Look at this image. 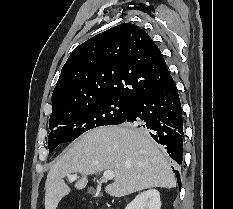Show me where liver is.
Returning a JSON list of instances; mask_svg holds the SVG:
<instances>
[{"mask_svg":"<svg viewBox=\"0 0 233 209\" xmlns=\"http://www.w3.org/2000/svg\"><path fill=\"white\" fill-rule=\"evenodd\" d=\"M106 170L114 172V182L105 191L117 198L176 186L170 165L146 132L132 125L100 127L72 143L52 166L45 183V209H56L70 193L66 176L81 174L75 188L83 189L88 175Z\"/></svg>","mask_w":233,"mask_h":209,"instance_id":"1","label":"liver"}]
</instances>
